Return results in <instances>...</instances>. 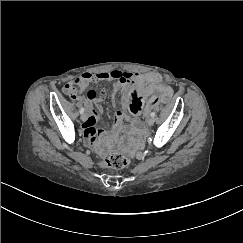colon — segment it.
<instances>
[{
  "mask_svg": "<svg viewBox=\"0 0 243 243\" xmlns=\"http://www.w3.org/2000/svg\"><path fill=\"white\" fill-rule=\"evenodd\" d=\"M169 97H165L162 101V103H167L169 101ZM129 160L126 156H124L121 153L118 152H114L112 154H110L109 156H107L102 164L106 167L109 168H115V169H120L123 168L125 166H127Z\"/></svg>",
  "mask_w": 243,
  "mask_h": 243,
  "instance_id": "colon-1",
  "label": "colon"
}]
</instances>
